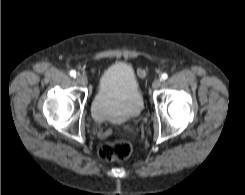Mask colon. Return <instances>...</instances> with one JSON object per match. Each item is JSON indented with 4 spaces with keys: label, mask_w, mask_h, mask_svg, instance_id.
Masks as SVG:
<instances>
[{
    "label": "colon",
    "mask_w": 245,
    "mask_h": 195,
    "mask_svg": "<svg viewBox=\"0 0 245 195\" xmlns=\"http://www.w3.org/2000/svg\"><path fill=\"white\" fill-rule=\"evenodd\" d=\"M130 140L122 138L114 142L105 143L99 148L98 154L105 161H119L126 159L132 152Z\"/></svg>",
    "instance_id": "colon-1"
}]
</instances>
